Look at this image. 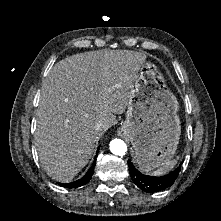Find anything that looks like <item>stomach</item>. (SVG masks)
<instances>
[{"label":"stomach","instance_id":"1","mask_svg":"<svg viewBox=\"0 0 221 221\" xmlns=\"http://www.w3.org/2000/svg\"><path fill=\"white\" fill-rule=\"evenodd\" d=\"M179 104L167 88L158 67L142 63L133 84L126 120L119 133L134 149V160L149 172L167 163L175 154L181 134Z\"/></svg>","mask_w":221,"mask_h":221}]
</instances>
